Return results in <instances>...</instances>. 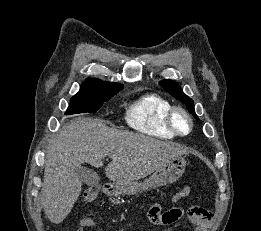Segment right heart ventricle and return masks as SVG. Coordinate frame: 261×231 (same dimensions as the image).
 I'll list each match as a JSON object with an SVG mask.
<instances>
[{
  "label": "right heart ventricle",
  "instance_id": "right-heart-ventricle-1",
  "mask_svg": "<svg viewBox=\"0 0 261 231\" xmlns=\"http://www.w3.org/2000/svg\"><path fill=\"white\" fill-rule=\"evenodd\" d=\"M172 104L165 98L148 94L135 100L125 112V121L132 129L161 139H174L166 122Z\"/></svg>",
  "mask_w": 261,
  "mask_h": 231
}]
</instances>
